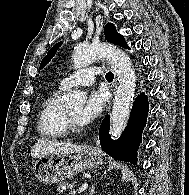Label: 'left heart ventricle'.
<instances>
[{"mask_svg":"<svg viewBox=\"0 0 189 195\" xmlns=\"http://www.w3.org/2000/svg\"><path fill=\"white\" fill-rule=\"evenodd\" d=\"M81 109H82V107L80 105L79 106H74V107H71V108L67 109V111L73 117V119L75 120V122L77 124H79V125H81V124L78 122V115H79Z\"/></svg>","mask_w":189,"mask_h":195,"instance_id":"left-heart-ventricle-1","label":"left heart ventricle"}]
</instances>
